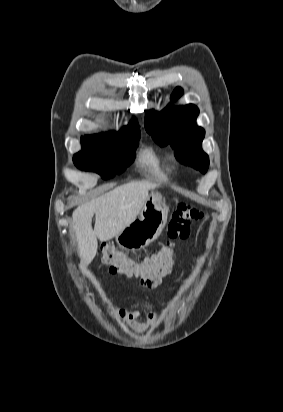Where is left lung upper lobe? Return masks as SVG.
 Wrapping results in <instances>:
<instances>
[{
	"mask_svg": "<svg viewBox=\"0 0 283 412\" xmlns=\"http://www.w3.org/2000/svg\"><path fill=\"white\" fill-rule=\"evenodd\" d=\"M182 93L176 88L171 100H176ZM199 109L192 105L175 107L169 104L160 113L148 112L145 128L160 146L170 144L176 158L186 165L205 173L209 166V157L202 150L204 129L196 126Z\"/></svg>",
	"mask_w": 283,
	"mask_h": 412,
	"instance_id": "left-lung-upper-lobe-1",
	"label": "left lung upper lobe"
}]
</instances>
